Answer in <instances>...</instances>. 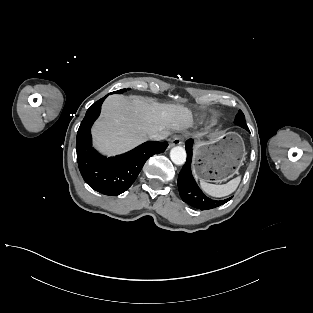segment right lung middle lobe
I'll return each instance as SVG.
<instances>
[{"label":"right lung middle lobe","instance_id":"dd1d6c3e","mask_svg":"<svg viewBox=\"0 0 313 313\" xmlns=\"http://www.w3.org/2000/svg\"><path fill=\"white\" fill-rule=\"evenodd\" d=\"M125 91H126V89H121V90L112 92V93H110V94H114V93L120 94V93H123V92H125Z\"/></svg>","mask_w":313,"mask_h":313}]
</instances>
